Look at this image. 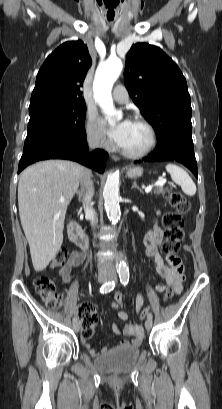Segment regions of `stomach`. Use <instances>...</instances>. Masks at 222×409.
Masks as SVG:
<instances>
[{
	"mask_svg": "<svg viewBox=\"0 0 222 409\" xmlns=\"http://www.w3.org/2000/svg\"><path fill=\"white\" fill-rule=\"evenodd\" d=\"M142 173H143V170L141 167H132V168H129L127 171V175L133 178L141 176Z\"/></svg>",
	"mask_w": 222,
	"mask_h": 409,
	"instance_id": "0dacf381",
	"label": "stomach"
}]
</instances>
